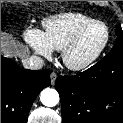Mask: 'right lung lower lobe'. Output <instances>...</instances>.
<instances>
[{
	"instance_id": "obj_1",
	"label": "right lung lower lobe",
	"mask_w": 123,
	"mask_h": 123,
	"mask_svg": "<svg viewBox=\"0 0 123 123\" xmlns=\"http://www.w3.org/2000/svg\"><path fill=\"white\" fill-rule=\"evenodd\" d=\"M49 85V70L20 69L1 56V123H27L35 98Z\"/></svg>"
}]
</instances>
